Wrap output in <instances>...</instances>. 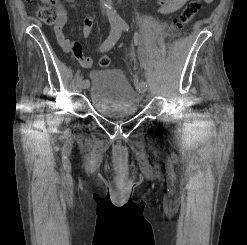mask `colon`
Returning a JSON list of instances; mask_svg holds the SVG:
<instances>
[{"label":"colon","instance_id":"colon-1","mask_svg":"<svg viewBox=\"0 0 247 245\" xmlns=\"http://www.w3.org/2000/svg\"><path fill=\"white\" fill-rule=\"evenodd\" d=\"M34 1V0H29ZM41 5L37 9V16L39 19L48 25L57 23L60 18V12L55 8V0H40ZM201 8V0H188L180 13L173 19V30L179 31L183 29L195 16ZM99 65L106 68L110 65V58L102 56L99 59Z\"/></svg>","mask_w":247,"mask_h":245}]
</instances>
